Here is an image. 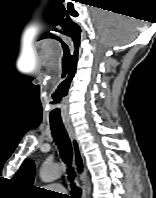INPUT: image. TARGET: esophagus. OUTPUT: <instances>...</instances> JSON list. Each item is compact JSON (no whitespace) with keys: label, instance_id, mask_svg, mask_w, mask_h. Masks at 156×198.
<instances>
[{"label":"esophagus","instance_id":"34e87169","mask_svg":"<svg viewBox=\"0 0 156 198\" xmlns=\"http://www.w3.org/2000/svg\"><path fill=\"white\" fill-rule=\"evenodd\" d=\"M65 128L67 130V133L69 135L72 150H73V158H74V164L75 169L77 172L79 185L81 187L82 193L81 198H86V191H85V174H86V168H85V161L82 155L81 146L77 139V136L74 132V129L70 123H65Z\"/></svg>","mask_w":156,"mask_h":198}]
</instances>
